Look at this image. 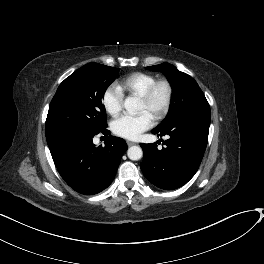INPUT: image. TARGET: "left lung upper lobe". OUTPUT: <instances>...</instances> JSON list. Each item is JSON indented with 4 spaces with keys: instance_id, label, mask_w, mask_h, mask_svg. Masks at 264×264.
Masks as SVG:
<instances>
[{
    "instance_id": "5c2ea615",
    "label": "left lung upper lobe",
    "mask_w": 264,
    "mask_h": 264,
    "mask_svg": "<svg viewBox=\"0 0 264 264\" xmlns=\"http://www.w3.org/2000/svg\"><path fill=\"white\" fill-rule=\"evenodd\" d=\"M147 69L163 72L173 88L170 113L153 130H163L171 124L195 113H210V106L197 82L169 63L149 66Z\"/></svg>"
}]
</instances>
